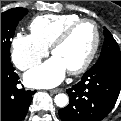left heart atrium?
<instances>
[{
    "label": "left heart atrium",
    "instance_id": "39dd6f15",
    "mask_svg": "<svg viewBox=\"0 0 121 121\" xmlns=\"http://www.w3.org/2000/svg\"><path fill=\"white\" fill-rule=\"evenodd\" d=\"M66 73L67 70L62 62L56 56H53L27 72L25 82L31 87L50 88L58 85L64 79Z\"/></svg>",
    "mask_w": 121,
    "mask_h": 121
}]
</instances>
